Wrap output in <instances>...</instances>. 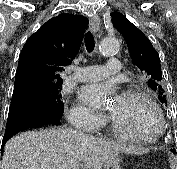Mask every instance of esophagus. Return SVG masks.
Returning a JSON list of instances; mask_svg holds the SVG:
<instances>
[{
    "instance_id": "1",
    "label": "esophagus",
    "mask_w": 177,
    "mask_h": 169,
    "mask_svg": "<svg viewBox=\"0 0 177 169\" xmlns=\"http://www.w3.org/2000/svg\"><path fill=\"white\" fill-rule=\"evenodd\" d=\"M89 28L93 33H96L101 28L100 18L95 15L89 21Z\"/></svg>"
}]
</instances>
